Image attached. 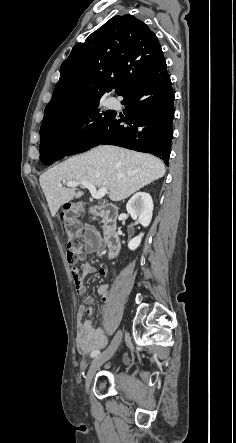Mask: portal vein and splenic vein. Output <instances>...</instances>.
<instances>
[{
	"label": "portal vein and splenic vein",
	"instance_id": "portal-vein-and-splenic-vein-1",
	"mask_svg": "<svg viewBox=\"0 0 236 443\" xmlns=\"http://www.w3.org/2000/svg\"><path fill=\"white\" fill-rule=\"evenodd\" d=\"M62 184H65L66 186L70 187V188H75L78 185H82L84 188H87L89 190V192L91 193L92 197L95 199H101L102 197H104L107 192L108 189L106 187L104 188H100L98 191L96 189V187L94 185H92L89 182L86 181H63V183H60L58 185V187H62Z\"/></svg>",
	"mask_w": 236,
	"mask_h": 443
}]
</instances>
